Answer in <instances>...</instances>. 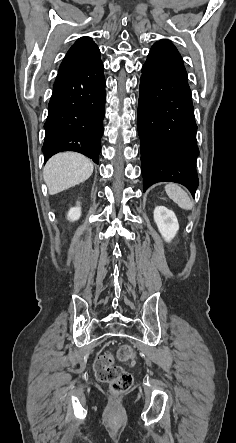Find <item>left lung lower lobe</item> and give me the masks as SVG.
<instances>
[{"label":"left lung lower lobe","instance_id":"obj_1","mask_svg":"<svg viewBox=\"0 0 236 443\" xmlns=\"http://www.w3.org/2000/svg\"><path fill=\"white\" fill-rule=\"evenodd\" d=\"M183 60L175 47L153 45L142 67L138 102L143 190L162 181L198 186L197 125Z\"/></svg>","mask_w":236,"mask_h":443}]
</instances>
